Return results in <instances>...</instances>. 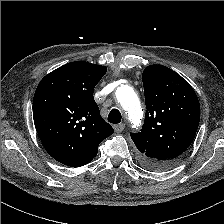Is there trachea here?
<instances>
[{
    "mask_svg": "<svg viewBox=\"0 0 224 224\" xmlns=\"http://www.w3.org/2000/svg\"><path fill=\"white\" fill-rule=\"evenodd\" d=\"M121 113L118 109H112L108 115V121L112 124H118L121 122Z\"/></svg>",
    "mask_w": 224,
    "mask_h": 224,
    "instance_id": "trachea-1",
    "label": "trachea"
}]
</instances>
